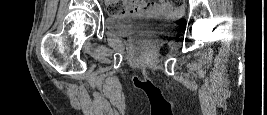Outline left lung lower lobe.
Masks as SVG:
<instances>
[{
    "mask_svg": "<svg viewBox=\"0 0 267 115\" xmlns=\"http://www.w3.org/2000/svg\"><path fill=\"white\" fill-rule=\"evenodd\" d=\"M137 87H145V86H141V85H136ZM147 88H149V89H151L152 91H159L157 88H155V87H151V86H149V87H147Z\"/></svg>",
    "mask_w": 267,
    "mask_h": 115,
    "instance_id": "1",
    "label": "left lung lower lobe"
}]
</instances>
